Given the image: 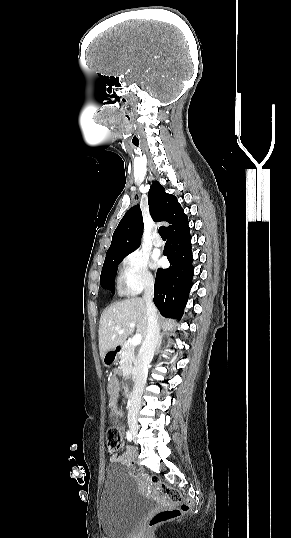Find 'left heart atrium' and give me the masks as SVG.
Here are the masks:
<instances>
[{"mask_svg":"<svg viewBox=\"0 0 291 538\" xmlns=\"http://www.w3.org/2000/svg\"><path fill=\"white\" fill-rule=\"evenodd\" d=\"M159 264H160V261H159L158 259H155L153 265H154V266H157V265H159Z\"/></svg>","mask_w":291,"mask_h":538,"instance_id":"obj_1","label":"left heart atrium"}]
</instances>
